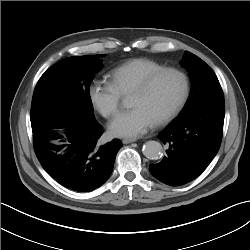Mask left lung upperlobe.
<instances>
[{"label":"left lung upper lobe","mask_w":250,"mask_h":250,"mask_svg":"<svg viewBox=\"0 0 250 250\" xmlns=\"http://www.w3.org/2000/svg\"><path fill=\"white\" fill-rule=\"evenodd\" d=\"M180 63L189 71L192 87L185 108L176 120L182 119L212 103L224 101L223 91L217 76L203 60L186 51Z\"/></svg>","instance_id":"left-lung-upper-lobe-1"}]
</instances>
